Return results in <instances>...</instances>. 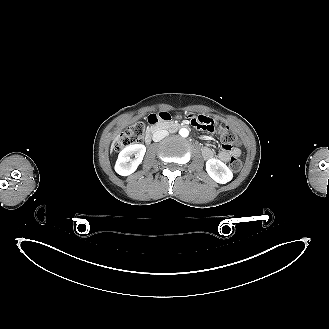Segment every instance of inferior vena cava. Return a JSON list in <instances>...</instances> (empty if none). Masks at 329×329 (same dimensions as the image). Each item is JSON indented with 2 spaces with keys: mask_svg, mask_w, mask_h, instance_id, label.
<instances>
[{
  "mask_svg": "<svg viewBox=\"0 0 329 329\" xmlns=\"http://www.w3.org/2000/svg\"><path fill=\"white\" fill-rule=\"evenodd\" d=\"M168 135H169V133L167 130H157L153 134V141L159 142L160 140H162L163 138H165Z\"/></svg>",
  "mask_w": 329,
  "mask_h": 329,
  "instance_id": "602c4592",
  "label": "inferior vena cava"
}]
</instances>
